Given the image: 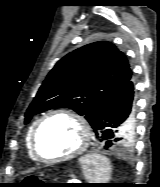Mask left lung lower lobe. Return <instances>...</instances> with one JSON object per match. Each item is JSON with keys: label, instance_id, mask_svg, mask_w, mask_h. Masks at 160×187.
Returning <instances> with one entry per match:
<instances>
[{"label": "left lung lower lobe", "instance_id": "obj_1", "mask_svg": "<svg viewBox=\"0 0 160 187\" xmlns=\"http://www.w3.org/2000/svg\"><path fill=\"white\" fill-rule=\"evenodd\" d=\"M125 123L126 128L120 130ZM134 124V84L131 77L103 102L92 127L103 148L128 149L133 139L128 148L124 144Z\"/></svg>", "mask_w": 160, "mask_h": 187}]
</instances>
